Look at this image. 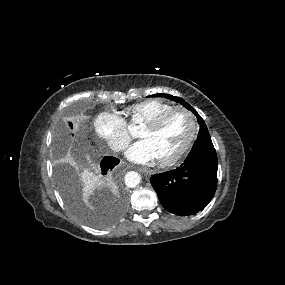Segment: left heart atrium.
Instances as JSON below:
<instances>
[{
	"mask_svg": "<svg viewBox=\"0 0 285 285\" xmlns=\"http://www.w3.org/2000/svg\"><path fill=\"white\" fill-rule=\"evenodd\" d=\"M126 157L136 163H149L157 159L156 152L152 144L142 139L131 145L126 151Z\"/></svg>",
	"mask_w": 285,
	"mask_h": 285,
	"instance_id": "left-heart-atrium-1",
	"label": "left heart atrium"
}]
</instances>
